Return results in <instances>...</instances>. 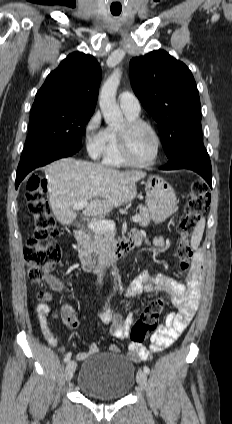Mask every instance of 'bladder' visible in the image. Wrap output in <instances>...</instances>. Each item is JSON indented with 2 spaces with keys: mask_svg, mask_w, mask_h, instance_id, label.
I'll list each match as a JSON object with an SVG mask.
<instances>
[{
  "mask_svg": "<svg viewBox=\"0 0 232 424\" xmlns=\"http://www.w3.org/2000/svg\"><path fill=\"white\" fill-rule=\"evenodd\" d=\"M136 380L134 365L120 353H99L81 365L78 388L96 399H122Z\"/></svg>",
  "mask_w": 232,
  "mask_h": 424,
  "instance_id": "bladder-1",
  "label": "bladder"
}]
</instances>
